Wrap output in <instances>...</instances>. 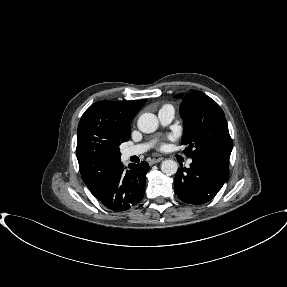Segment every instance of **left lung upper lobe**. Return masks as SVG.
<instances>
[{
	"instance_id": "5c2ea615",
	"label": "left lung upper lobe",
	"mask_w": 287,
	"mask_h": 287,
	"mask_svg": "<svg viewBox=\"0 0 287 287\" xmlns=\"http://www.w3.org/2000/svg\"><path fill=\"white\" fill-rule=\"evenodd\" d=\"M178 94L176 98H181ZM184 120L183 151L191 158L217 156L230 158L233 141L220 106L201 91L191 90L180 108Z\"/></svg>"
}]
</instances>
